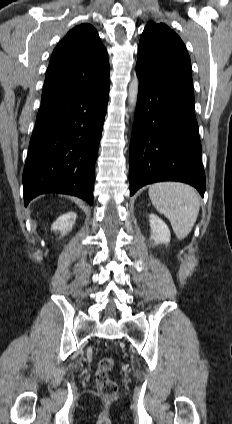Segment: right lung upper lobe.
<instances>
[{
	"label": "right lung upper lobe",
	"mask_w": 232,
	"mask_h": 424,
	"mask_svg": "<svg viewBox=\"0 0 232 424\" xmlns=\"http://www.w3.org/2000/svg\"><path fill=\"white\" fill-rule=\"evenodd\" d=\"M107 83V51L95 28L84 23L71 29L54 49L42 100L96 89Z\"/></svg>",
	"instance_id": "cb5924a9"
}]
</instances>
